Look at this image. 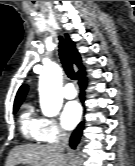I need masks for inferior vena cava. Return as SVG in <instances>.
<instances>
[{"instance_id": "inferior-vena-cava-1", "label": "inferior vena cava", "mask_w": 135, "mask_h": 166, "mask_svg": "<svg viewBox=\"0 0 135 166\" xmlns=\"http://www.w3.org/2000/svg\"><path fill=\"white\" fill-rule=\"evenodd\" d=\"M69 142V134L62 133L59 137V141L57 142L58 147L63 151L68 147Z\"/></svg>"}]
</instances>
